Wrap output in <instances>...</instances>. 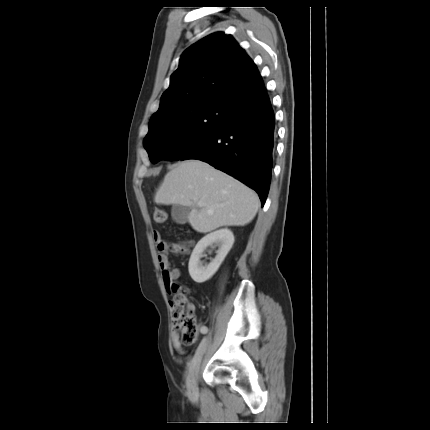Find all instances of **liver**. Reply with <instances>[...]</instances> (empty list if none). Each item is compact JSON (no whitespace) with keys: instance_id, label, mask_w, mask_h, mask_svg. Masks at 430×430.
Wrapping results in <instances>:
<instances>
[{"instance_id":"1","label":"liver","mask_w":430,"mask_h":430,"mask_svg":"<svg viewBox=\"0 0 430 430\" xmlns=\"http://www.w3.org/2000/svg\"><path fill=\"white\" fill-rule=\"evenodd\" d=\"M154 200L162 205L190 207L189 223L200 233L222 226H244L253 220L260 204L254 191L197 159L179 162L169 171ZM195 200H201L204 205L198 206Z\"/></svg>"}]
</instances>
